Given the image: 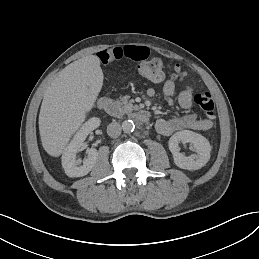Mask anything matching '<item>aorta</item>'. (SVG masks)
<instances>
[{
	"label": "aorta",
	"instance_id": "aorta-1",
	"mask_svg": "<svg viewBox=\"0 0 259 259\" xmlns=\"http://www.w3.org/2000/svg\"><path fill=\"white\" fill-rule=\"evenodd\" d=\"M135 129V125H134V122L132 120H125L123 121L122 123V130L125 132V133H131L133 132Z\"/></svg>",
	"mask_w": 259,
	"mask_h": 259
}]
</instances>
